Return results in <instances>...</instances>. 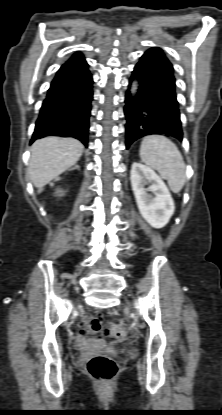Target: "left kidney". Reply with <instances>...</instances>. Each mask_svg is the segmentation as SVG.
I'll return each mask as SVG.
<instances>
[{
	"label": "left kidney",
	"mask_w": 222,
	"mask_h": 415,
	"mask_svg": "<svg viewBox=\"0 0 222 415\" xmlns=\"http://www.w3.org/2000/svg\"><path fill=\"white\" fill-rule=\"evenodd\" d=\"M130 179L143 218L154 228L164 227L173 215L175 206L163 180L154 170L137 162L132 164ZM148 182L151 185L145 188Z\"/></svg>",
	"instance_id": "1"
}]
</instances>
